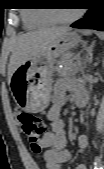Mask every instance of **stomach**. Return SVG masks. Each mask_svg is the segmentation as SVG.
<instances>
[{
  "label": "stomach",
  "mask_w": 104,
  "mask_h": 169,
  "mask_svg": "<svg viewBox=\"0 0 104 169\" xmlns=\"http://www.w3.org/2000/svg\"><path fill=\"white\" fill-rule=\"evenodd\" d=\"M81 41V36L76 31L63 33L14 71L9 87L18 108L38 113L48 107L55 62Z\"/></svg>",
  "instance_id": "stomach-1"
}]
</instances>
